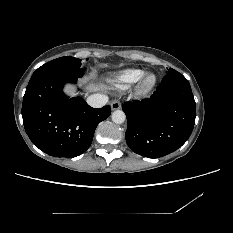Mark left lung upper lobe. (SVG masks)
I'll return each instance as SVG.
<instances>
[{
	"instance_id": "obj_1",
	"label": "left lung upper lobe",
	"mask_w": 233,
	"mask_h": 233,
	"mask_svg": "<svg viewBox=\"0 0 233 233\" xmlns=\"http://www.w3.org/2000/svg\"><path fill=\"white\" fill-rule=\"evenodd\" d=\"M173 71H175V70L172 69V68H170L169 71L167 72V74H169V73H171V72H173ZM167 74H166V75H167Z\"/></svg>"
}]
</instances>
